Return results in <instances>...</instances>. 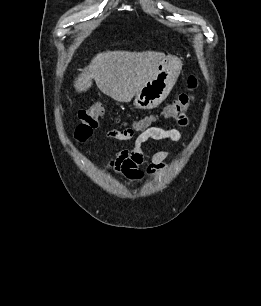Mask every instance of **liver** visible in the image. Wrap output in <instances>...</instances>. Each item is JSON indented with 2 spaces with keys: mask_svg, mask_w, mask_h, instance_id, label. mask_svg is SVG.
Here are the masks:
<instances>
[{
  "mask_svg": "<svg viewBox=\"0 0 261 306\" xmlns=\"http://www.w3.org/2000/svg\"><path fill=\"white\" fill-rule=\"evenodd\" d=\"M166 57L162 52L106 51L98 53L76 78L77 92L87 91L95 80L102 93L129 102Z\"/></svg>",
  "mask_w": 261,
  "mask_h": 306,
  "instance_id": "obj_1",
  "label": "liver"
}]
</instances>
